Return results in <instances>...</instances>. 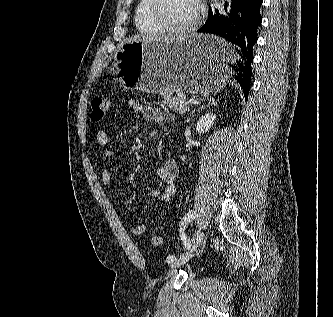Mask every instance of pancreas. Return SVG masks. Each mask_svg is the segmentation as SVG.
Here are the masks:
<instances>
[{
  "mask_svg": "<svg viewBox=\"0 0 333 317\" xmlns=\"http://www.w3.org/2000/svg\"><path fill=\"white\" fill-rule=\"evenodd\" d=\"M161 99L163 105L180 115L189 110L190 105L187 103L186 97L182 94L173 95L171 92H164L161 94Z\"/></svg>",
  "mask_w": 333,
  "mask_h": 317,
  "instance_id": "cf45deb5",
  "label": "pancreas"
}]
</instances>
